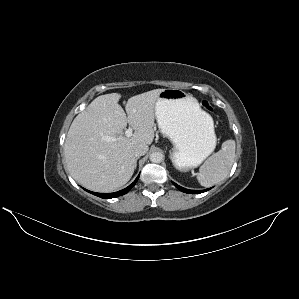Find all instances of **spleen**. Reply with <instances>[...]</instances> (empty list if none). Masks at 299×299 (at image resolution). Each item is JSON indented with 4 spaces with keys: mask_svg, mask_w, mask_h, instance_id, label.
Wrapping results in <instances>:
<instances>
[{
    "mask_svg": "<svg viewBox=\"0 0 299 299\" xmlns=\"http://www.w3.org/2000/svg\"><path fill=\"white\" fill-rule=\"evenodd\" d=\"M235 148L234 140H226L221 149L204 162L197 174V180L202 186H213L227 177L234 163Z\"/></svg>",
    "mask_w": 299,
    "mask_h": 299,
    "instance_id": "1",
    "label": "spleen"
}]
</instances>
